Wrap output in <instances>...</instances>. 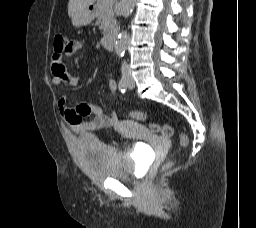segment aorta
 <instances>
[{
	"label": "aorta",
	"instance_id": "obj_1",
	"mask_svg": "<svg viewBox=\"0 0 256 228\" xmlns=\"http://www.w3.org/2000/svg\"><path fill=\"white\" fill-rule=\"evenodd\" d=\"M136 0H121L120 2V13L123 17H128L135 6ZM128 41L127 31H122L119 33L117 40L115 42V52L119 58L123 57L126 50V45Z\"/></svg>",
	"mask_w": 256,
	"mask_h": 228
}]
</instances>
